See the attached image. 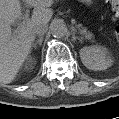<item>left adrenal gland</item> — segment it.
I'll return each instance as SVG.
<instances>
[{
  "label": "left adrenal gland",
  "mask_w": 119,
  "mask_h": 119,
  "mask_svg": "<svg viewBox=\"0 0 119 119\" xmlns=\"http://www.w3.org/2000/svg\"><path fill=\"white\" fill-rule=\"evenodd\" d=\"M72 39H73V41H75L76 39H78V40H80V41H82V40H83V38H82V37H77V36H75V34H74V33H73Z\"/></svg>",
  "instance_id": "left-adrenal-gland-1"
}]
</instances>
